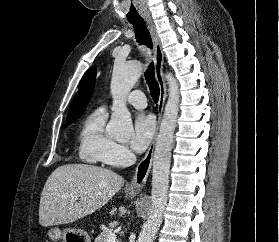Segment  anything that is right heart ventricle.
Segmentation results:
<instances>
[{
	"label": "right heart ventricle",
	"instance_id": "obj_1",
	"mask_svg": "<svg viewBox=\"0 0 279 242\" xmlns=\"http://www.w3.org/2000/svg\"><path fill=\"white\" fill-rule=\"evenodd\" d=\"M107 113L104 108H97L83 121L78 140L79 157L91 164L105 163V159L115 144L106 133Z\"/></svg>",
	"mask_w": 279,
	"mask_h": 242
}]
</instances>
